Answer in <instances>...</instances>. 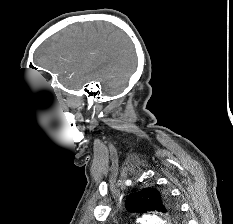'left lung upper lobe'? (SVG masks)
Returning <instances> with one entry per match:
<instances>
[{
  "mask_svg": "<svg viewBox=\"0 0 233 224\" xmlns=\"http://www.w3.org/2000/svg\"><path fill=\"white\" fill-rule=\"evenodd\" d=\"M126 208L129 212H161L168 214L175 222L179 219L175 202L167 193L159 192L155 188H145L129 195L126 199Z\"/></svg>",
  "mask_w": 233,
  "mask_h": 224,
  "instance_id": "obj_1",
  "label": "left lung upper lobe"
}]
</instances>
